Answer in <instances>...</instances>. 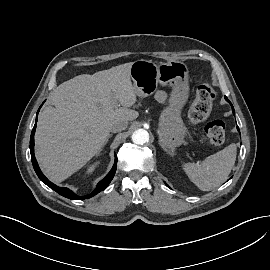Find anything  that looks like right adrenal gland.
Listing matches in <instances>:
<instances>
[{"label":"right adrenal gland","instance_id":"right-adrenal-gland-1","mask_svg":"<svg viewBox=\"0 0 270 270\" xmlns=\"http://www.w3.org/2000/svg\"><path fill=\"white\" fill-rule=\"evenodd\" d=\"M111 136H112V134H110V135H109V137H108V139H107L106 143L108 142V140H109V138H110ZM106 143H105V144H106ZM99 152H100V151H99Z\"/></svg>","mask_w":270,"mask_h":270}]
</instances>
